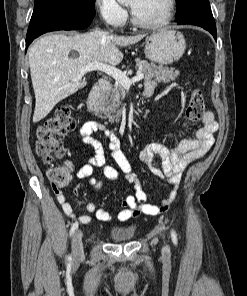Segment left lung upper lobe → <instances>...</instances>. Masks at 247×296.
Listing matches in <instances>:
<instances>
[{
    "mask_svg": "<svg viewBox=\"0 0 247 296\" xmlns=\"http://www.w3.org/2000/svg\"><path fill=\"white\" fill-rule=\"evenodd\" d=\"M177 12L176 18L192 10L199 3H209V0H176Z\"/></svg>",
    "mask_w": 247,
    "mask_h": 296,
    "instance_id": "5c2ea615",
    "label": "left lung upper lobe"
}]
</instances>
